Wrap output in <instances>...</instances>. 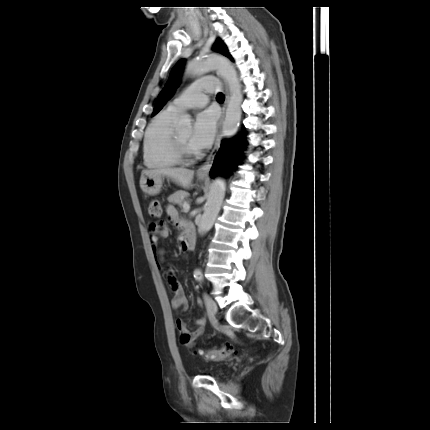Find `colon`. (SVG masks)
<instances>
[{"label": "colon", "mask_w": 430, "mask_h": 430, "mask_svg": "<svg viewBox=\"0 0 430 430\" xmlns=\"http://www.w3.org/2000/svg\"><path fill=\"white\" fill-rule=\"evenodd\" d=\"M148 211L150 216L154 218H160L162 215V209L158 201H151L149 204ZM197 353L200 356L204 357L205 359H208L211 361H222L236 354V349L234 348L233 345L226 344L224 347L219 349L213 348V349H207V350H199ZM183 390H185L184 384H183Z\"/></svg>", "instance_id": "colon-1"}]
</instances>
